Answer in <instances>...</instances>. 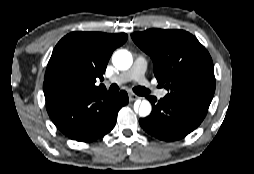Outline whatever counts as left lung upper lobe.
<instances>
[{"label":"left lung upper lobe","mask_w":254,"mask_h":174,"mask_svg":"<svg viewBox=\"0 0 254 174\" xmlns=\"http://www.w3.org/2000/svg\"><path fill=\"white\" fill-rule=\"evenodd\" d=\"M131 37L152 58L155 77L168 90L166 97L209 107L216 85L213 62L196 37L178 29H149Z\"/></svg>","instance_id":"left-lung-upper-lobe-1"}]
</instances>
